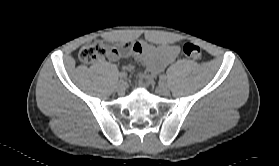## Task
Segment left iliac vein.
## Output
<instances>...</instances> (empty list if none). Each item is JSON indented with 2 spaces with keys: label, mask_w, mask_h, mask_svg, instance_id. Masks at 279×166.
<instances>
[{
  "label": "left iliac vein",
  "mask_w": 279,
  "mask_h": 166,
  "mask_svg": "<svg viewBox=\"0 0 279 166\" xmlns=\"http://www.w3.org/2000/svg\"><path fill=\"white\" fill-rule=\"evenodd\" d=\"M156 90L161 95H168L170 93L169 87L164 83H159Z\"/></svg>",
  "instance_id": "left-iliac-vein-1"
}]
</instances>
